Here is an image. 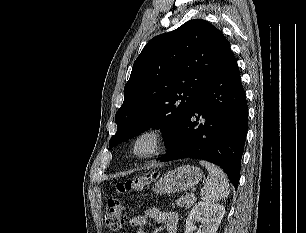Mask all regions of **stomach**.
Masks as SVG:
<instances>
[{"label":"stomach","instance_id":"1","mask_svg":"<svg viewBox=\"0 0 306 233\" xmlns=\"http://www.w3.org/2000/svg\"><path fill=\"white\" fill-rule=\"evenodd\" d=\"M202 178L200 168L183 165L163 174L155 183L153 191L157 194H170L188 190L196 186Z\"/></svg>","mask_w":306,"mask_h":233}]
</instances>
